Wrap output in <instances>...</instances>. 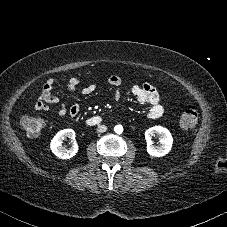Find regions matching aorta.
Wrapping results in <instances>:
<instances>
[{"mask_svg":"<svg viewBox=\"0 0 227 227\" xmlns=\"http://www.w3.org/2000/svg\"><path fill=\"white\" fill-rule=\"evenodd\" d=\"M114 131H115V133H117V134H121V133L123 132V126H122V125H116V126L114 127Z\"/></svg>","mask_w":227,"mask_h":227,"instance_id":"obj_1","label":"aorta"}]
</instances>
